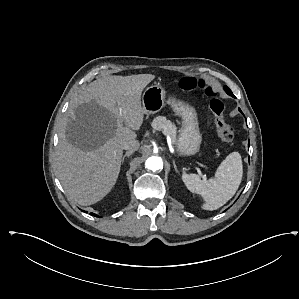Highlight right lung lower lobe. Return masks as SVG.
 Returning a JSON list of instances; mask_svg holds the SVG:
<instances>
[{"mask_svg":"<svg viewBox=\"0 0 299 299\" xmlns=\"http://www.w3.org/2000/svg\"><path fill=\"white\" fill-rule=\"evenodd\" d=\"M91 215H94V216H96V217H97V215H96V214H93V213H91Z\"/></svg>","mask_w":299,"mask_h":299,"instance_id":"1","label":"right lung lower lobe"}]
</instances>
